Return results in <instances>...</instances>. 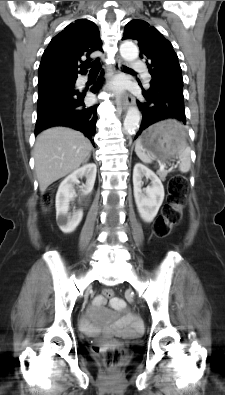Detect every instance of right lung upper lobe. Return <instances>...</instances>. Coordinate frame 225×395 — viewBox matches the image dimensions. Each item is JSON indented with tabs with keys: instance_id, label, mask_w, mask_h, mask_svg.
I'll list each match as a JSON object with an SVG mask.
<instances>
[{
	"instance_id": "1",
	"label": "right lung upper lobe",
	"mask_w": 225,
	"mask_h": 395,
	"mask_svg": "<svg viewBox=\"0 0 225 395\" xmlns=\"http://www.w3.org/2000/svg\"><path fill=\"white\" fill-rule=\"evenodd\" d=\"M94 51H102V41L95 23L79 19L69 24L51 40L43 53L38 86L75 81L78 73L85 74L91 64L99 63V59L88 63L91 61L89 55ZM81 57H87V60L83 62Z\"/></svg>"
}]
</instances>
